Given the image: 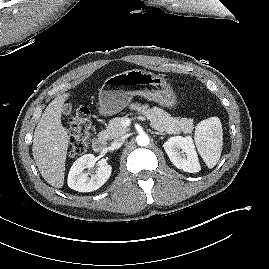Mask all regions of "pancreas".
Returning a JSON list of instances; mask_svg holds the SVG:
<instances>
[{
	"instance_id": "pancreas-1",
	"label": "pancreas",
	"mask_w": 269,
	"mask_h": 269,
	"mask_svg": "<svg viewBox=\"0 0 269 269\" xmlns=\"http://www.w3.org/2000/svg\"><path fill=\"white\" fill-rule=\"evenodd\" d=\"M151 123V126L162 133L180 134L181 132L187 134L192 133L194 129L193 119L188 118H174L170 114L160 108H150L144 105L140 111ZM123 118L115 117L109 121L106 130L100 132L99 136L105 140H112L123 136L129 129L122 124Z\"/></svg>"
}]
</instances>
